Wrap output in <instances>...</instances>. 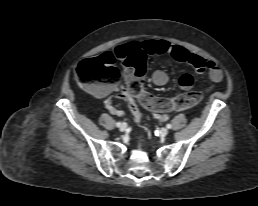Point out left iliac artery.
<instances>
[{
	"mask_svg": "<svg viewBox=\"0 0 258 206\" xmlns=\"http://www.w3.org/2000/svg\"><path fill=\"white\" fill-rule=\"evenodd\" d=\"M166 127H167L168 129H170V128L172 127V125H171V124H167Z\"/></svg>",
	"mask_w": 258,
	"mask_h": 206,
	"instance_id": "left-iliac-artery-1",
	"label": "left iliac artery"
}]
</instances>
